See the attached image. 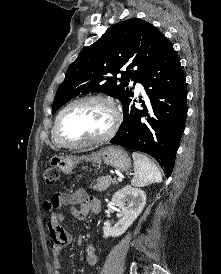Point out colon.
<instances>
[{
    "label": "colon",
    "instance_id": "colon-1",
    "mask_svg": "<svg viewBox=\"0 0 221 274\" xmlns=\"http://www.w3.org/2000/svg\"><path fill=\"white\" fill-rule=\"evenodd\" d=\"M43 182L47 186H52L59 178L58 170L54 168H46L42 173Z\"/></svg>",
    "mask_w": 221,
    "mask_h": 274
}]
</instances>
